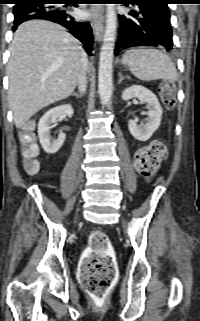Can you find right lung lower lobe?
<instances>
[{
    "label": "right lung lower lobe",
    "instance_id": "1",
    "mask_svg": "<svg viewBox=\"0 0 200 321\" xmlns=\"http://www.w3.org/2000/svg\"><path fill=\"white\" fill-rule=\"evenodd\" d=\"M76 1L78 0H25L20 2L13 8V30L27 20H49L69 29L84 44L86 52L91 55L93 37L90 24L75 20L66 9L71 3H77Z\"/></svg>",
    "mask_w": 200,
    "mask_h": 321
}]
</instances>
